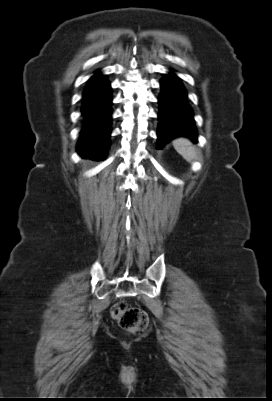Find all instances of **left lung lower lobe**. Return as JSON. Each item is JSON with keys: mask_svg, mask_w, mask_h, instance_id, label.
<instances>
[{"mask_svg": "<svg viewBox=\"0 0 272 401\" xmlns=\"http://www.w3.org/2000/svg\"><path fill=\"white\" fill-rule=\"evenodd\" d=\"M186 97L180 79L175 75L166 74L161 81L159 96L158 148H162L169 140L178 136H186L197 142L193 111Z\"/></svg>", "mask_w": 272, "mask_h": 401, "instance_id": "1", "label": "left lung lower lobe"}]
</instances>
